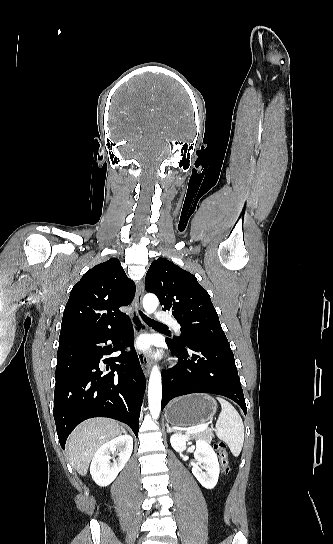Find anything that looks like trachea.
<instances>
[{"label": "trachea", "instance_id": "trachea-1", "mask_svg": "<svg viewBox=\"0 0 333 544\" xmlns=\"http://www.w3.org/2000/svg\"><path fill=\"white\" fill-rule=\"evenodd\" d=\"M139 314L142 317V319L148 324H152V325H155V326H161V327H167L166 325H164L162 323H159V322H157V321H155L153 319H150L145 314H143L141 311H139Z\"/></svg>", "mask_w": 333, "mask_h": 544}]
</instances>
